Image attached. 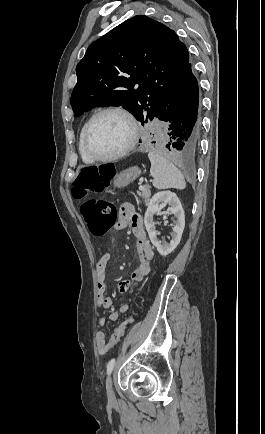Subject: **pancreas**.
Wrapping results in <instances>:
<instances>
[{"label": "pancreas", "mask_w": 265, "mask_h": 434, "mask_svg": "<svg viewBox=\"0 0 265 434\" xmlns=\"http://www.w3.org/2000/svg\"><path fill=\"white\" fill-rule=\"evenodd\" d=\"M143 188H144V190H141L142 198H143L145 204H149L151 192H150L149 188H147V186H143Z\"/></svg>", "instance_id": "obj_1"}]
</instances>
